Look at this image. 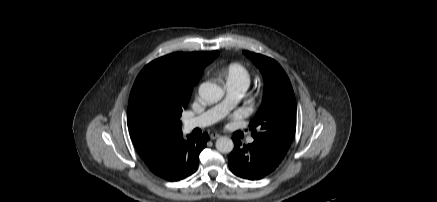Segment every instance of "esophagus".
Here are the masks:
<instances>
[{"label": "esophagus", "instance_id": "34e87169", "mask_svg": "<svg viewBox=\"0 0 437 202\" xmlns=\"http://www.w3.org/2000/svg\"><path fill=\"white\" fill-rule=\"evenodd\" d=\"M220 137V135L218 133H211L210 134V139L215 140L218 139Z\"/></svg>", "mask_w": 437, "mask_h": 202}]
</instances>
